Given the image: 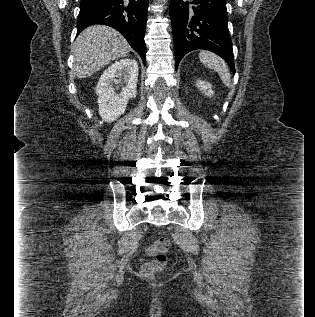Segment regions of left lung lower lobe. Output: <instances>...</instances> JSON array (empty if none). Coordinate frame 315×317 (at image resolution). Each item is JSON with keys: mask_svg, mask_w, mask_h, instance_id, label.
<instances>
[{"mask_svg": "<svg viewBox=\"0 0 315 317\" xmlns=\"http://www.w3.org/2000/svg\"><path fill=\"white\" fill-rule=\"evenodd\" d=\"M170 18L176 68L188 52L205 49L222 57L235 73L226 0H170Z\"/></svg>", "mask_w": 315, "mask_h": 317, "instance_id": "0a47b994", "label": "left lung lower lobe"}]
</instances>
